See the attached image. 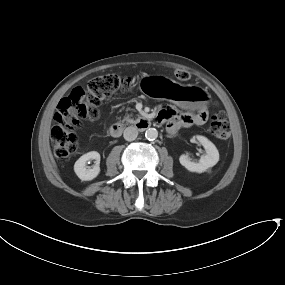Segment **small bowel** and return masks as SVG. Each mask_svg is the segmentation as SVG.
Masks as SVG:
<instances>
[{"label":"small bowel","mask_w":285,"mask_h":285,"mask_svg":"<svg viewBox=\"0 0 285 285\" xmlns=\"http://www.w3.org/2000/svg\"><path fill=\"white\" fill-rule=\"evenodd\" d=\"M157 117L166 122V131L174 134L181 127L206 121L207 114L204 111L194 114L179 113L173 107L164 104L159 108Z\"/></svg>","instance_id":"c3829d8e"}]
</instances>
